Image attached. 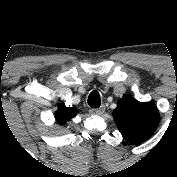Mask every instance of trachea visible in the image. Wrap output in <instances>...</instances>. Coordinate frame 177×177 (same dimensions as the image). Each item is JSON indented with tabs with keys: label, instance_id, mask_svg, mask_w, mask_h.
<instances>
[{
	"label": "trachea",
	"instance_id": "obj_1",
	"mask_svg": "<svg viewBox=\"0 0 177 177\" xmlns=\"http://www.w3.org/2000/svg\"><path fill=\"white\" fill-rule=\"evenodd\" d=\"M88 105L91 108H99L101 105L100 94L98 91L93 90L88 96Z\"/></svg>",
	"mask_w": 177,
	"mask_h": 177
}]
</instances>
